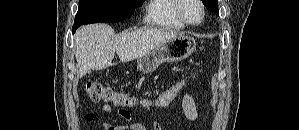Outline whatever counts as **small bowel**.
I'll return each instance as SVG.
<instances>
[{"mask_svg": "<svg viewBox=\"0 0 299 130\" xmlns=\"http://www.w3.org/2000/svg\"><path fill=\"white\" fill-rule=\"evenodd\" d=\"M182 106L183 110L185 113L186 118L194 122L198 118V112L196 108V103L193 94L189 91L184 94L183 100H182ZM102 111L105 113H111L112 112V107L108 104L104 105L102 107ZM117 114L126 119H130V114L126 110H118ZM84 121L86 122H91L94 119V114L93 113H87L83 117ZM103 130H163L162 126L156 122V121H151L148 123H131V124H126V125H119V126H113L109 123H104L102 125Z\"/></svg>", "mask_w": 299, "mask_h": 130, "instance_id": "1", "label": "small bowel"}]
</instances>
